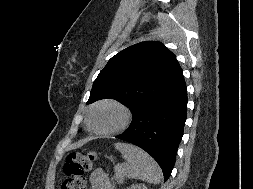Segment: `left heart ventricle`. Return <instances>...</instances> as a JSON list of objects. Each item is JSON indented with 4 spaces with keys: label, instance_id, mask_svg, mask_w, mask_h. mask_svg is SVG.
I'll list each match as a JSON object with an SVG mask.
<instances>
[{
    "label": "left heart ventricle",
    "instance_id": "obj_1",
    "mask_svg": "<svg viewBox=\"0 0 253 189\" xmlns=\"http://www.w3.org/2000/svg\"><path fill=\"white\" fill-rule=\"evenodd\" d=\"M121 121V112L113 106L99 107L91 117L92 126L99 131L111 130L117 127Z\"/></svg>",
    "mask_w": 253,
    "mask_h": 189
}]
</instances>
